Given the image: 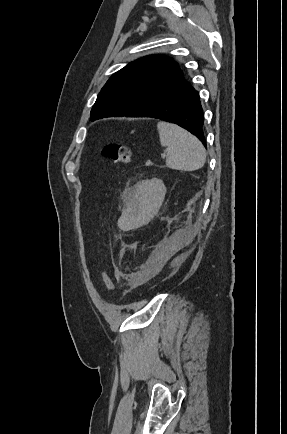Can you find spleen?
<instances>
[{"label": "spleen", "instance_id": "1", "mask_svg": "<svg viewBox=\"0 0 287 434\" xmlns=\"http://www.w3.org/2000/svg\"><path fill=\"white\" fill-rule=\"evenodd\" d=\"M157 129L161 145L168 150L166 157L168 168L195 171L203 167L206 151L194 135L178 125L163 121L158 122Z\"/></svg>", "mask_w": 287, "mask_h": 434}]
</instances>
